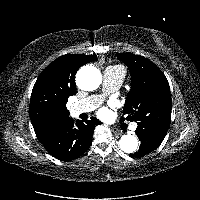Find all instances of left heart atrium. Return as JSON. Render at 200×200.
Returning <instances> with one entry per match:
<instances>
[{
	"label": "left heart atrium",
	"mask_w": 200,
	"mask_h": 200,
	"mask_svg": "<svg viewBox=\"0 0 200 200\" xmlns=\"http://www.w3.org/2000/svg\"><path fill=\"white\" fill-rule=\"evenodd\" d=\"M108 114H109V111H108V109H107L106 107H103V108H101V109L98 111V115H99V117H101V118L107 117Z\"/></svg>",
	"instance_id": "left-heart-atrium-1"
}]
</instances>
